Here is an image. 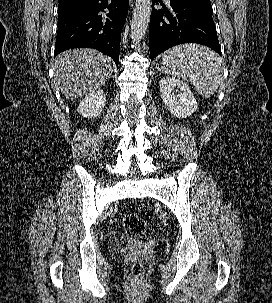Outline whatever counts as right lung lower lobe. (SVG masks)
<instances>
[{
  "label": "right lung lower lobe",
  "instance_id": "1",
  "mask_svg": "<svg viewBox=\"0 0 272 303\" xmlns=\"http://www.w3.org/2000/svg\"><path fill=\"white\" fill-rule=\"evenodd\" d=\"M129 0H89L58 11L54 56L79 47L97 49L119 63L121 31ZM108 9V13H104Z\"/></svg>",
  "mask_w": 272,
  "mask_h": 303
}]
</instances>
